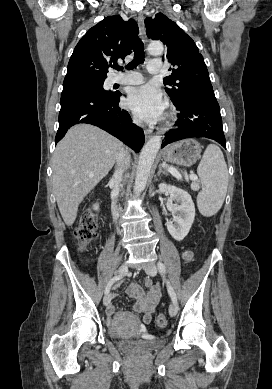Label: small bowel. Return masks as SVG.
Instances as JSON below:
<instances>
[{"mask_svg": "<svg viewBox=\"0 0 272 389\" xmlns=\"http://www.w3.org/2000/svg\"><path fill=\"white\" fill-rule=\"evenodd\" d=\"M183 259L186 262H189L192 259V253L190 251H185L183 253ZM143 283L146 287V290H144L140 285L136 283L129 284L126 290L130 298L135 300L133 311L135 313H143L141 318L142 329L145 325L151 322L152 314L155 312V309L159 303L161 296L160 286L158 284H153L152 280L149 277H146ZM114 296L115 295H113V297ZM110 313H114V310L111 309ZM117 315L130 319H135V316L129 312H120Z\"/></svg>", "mask_w": 272, "mask_h": 389, "instance_id": "obj_1", "label": "small bowel"}]
</instances>
